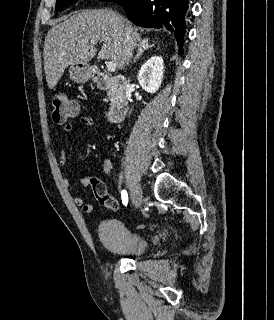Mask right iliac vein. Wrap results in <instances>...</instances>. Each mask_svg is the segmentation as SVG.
I'll use <instances>...</instances> for the list:
<instances>
[{
  "label": "right iliac vein",
  "instance_id": "63e3f726",
  "mask_svg": "<svg viewBox=\"0 0 274 320\" xmlns=\"http://www.w3.org/2000/svg\"><path fill=\"white\" fill-rule=\"evenodd\" d=\"M142 193H143V190H142L141 186L139 184H137L134 188V194L132 197L133 205L135 208L140 207V205L142 203Z\"/></svg>",
  "mask_w": 274,
  "mask_h": 320
}]
</instances>
